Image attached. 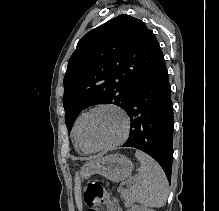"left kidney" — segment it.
Returning a JSON list of instances; mask_svg holds the SVG:
<instances>
[{
    "instance_id": "5707ae66",
    "label": "left kidney",
    "mask_w": 219,
    "mask_h": 211,
    "mask_svg": "<svg viewBox=\"0 0 219 211\" xmlns=\"http://www.w3.org/2000/svg\"><path fill=\"white\" fill-rule=\"evenodd\" d=\"M131 211H155V209H149L145 205H132Z\"/></svg>"
}]
</instances>
